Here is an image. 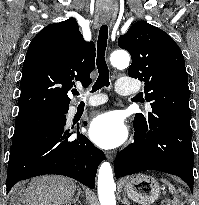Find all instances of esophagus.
Segmentation results:
<instances>
[{"instance_id": "esophagus-1", "label": "esophagus", "mask_w": 199, "mask_h": 205, "mask_svg": "<svg viewBox=\"0 0 199 205\" xmlns=\"http://www.w3.org/2000/svg\"><path fill=\"white\" fill-rule=\"evenodd\" d=\"M101 21H102V23H108V21H109V18H107V17H102L101 18ZM105 155H106V157L109 159V160H114V158H115V156H116V152L115 151H106L105 152Z\"/></svg>"}]
</instances>
